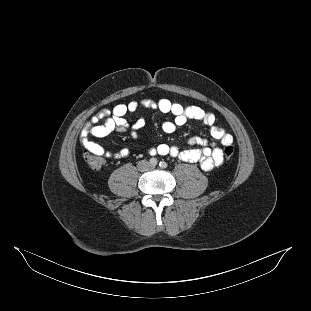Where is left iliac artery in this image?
Wrapping results in <instances>:
<instances>
[{
	"label": "left iliac artery",
	"instance_id": "left-iliac-artery-1",
	"mask_svg": "<svg viewBox=\"0 0 311 311\" xmlns=\"http://www.w3.org/2000/svg\"><path fill=\"white\" fill-rule=\"evenodd\" d=\"M159 166H160L161 168H166L168 165H167V163H166L165 161H161V162L159 163Z\"/></svg>",
	"mask_w": 311,
	"mask_h": 311
}]
</instances>
